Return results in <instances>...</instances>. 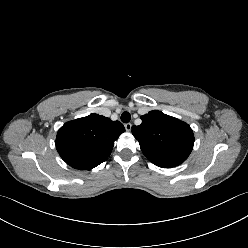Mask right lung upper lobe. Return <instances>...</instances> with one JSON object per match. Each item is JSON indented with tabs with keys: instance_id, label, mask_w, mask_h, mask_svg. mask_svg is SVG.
<instances>
[{
	"instance_id": "right-lung-upper-lobe-1",
	"label": "right lung upper lobe",
	"mask_w": 248,
	"mask_h": 248,
	"mask_svg": "<svg viewBox=\"0 0 248 248\" xmlns=\"http://www.w3.org/2000/svg\"><path fill=\"white\" fill-rule=\"evenodd\" d=\"M125 131L122 123L98 115L65 123L57 133L56 148L71 167L90 170L111 154L115 140Z\"/></svg>"
}]
</instances>
